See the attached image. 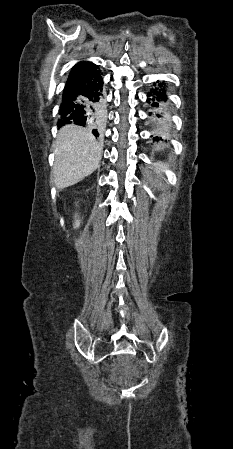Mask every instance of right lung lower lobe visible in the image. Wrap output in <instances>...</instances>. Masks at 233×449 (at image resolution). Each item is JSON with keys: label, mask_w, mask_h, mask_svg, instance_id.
I'll use <instances>...</instances> for the list:
<instances>
[{"label": "right lung lower lobe", "mask_w": 233, "mask_h": 449, "mask_svg": "<svg viewBox=\"0 0 233 449\" xmlns=\"http://www.w3.org/2000/svg\"><path fill=\"white\" fill-rule=\"evenodd\" d=\"M59 113V127L75 123L89 127L96 137L102 135L105 102L98 66L93 64L83 74L67 80Z\"/></svg>", "instance_id": "1"}]
</instances>
